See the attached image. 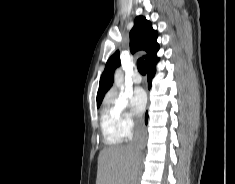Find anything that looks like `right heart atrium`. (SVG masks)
Here are the masks:
<instances>
[{"mask_svg":"<svg viewBox=\"0 0 235 184\" xmlns=\"http://www.w3.org/2000/svg\"><path fill=\"white\" fill-rule=\"evenodd\" d=\"M105 108L113 113L116 129L123 139H130L143 129L128 108L127 98L114 91L109 92L104 99Z\"/></svg>","mask_w":235,"mask_h":184,"instance_id":"d8ad5b80","label":"right heart atrium"}]
</instances>
